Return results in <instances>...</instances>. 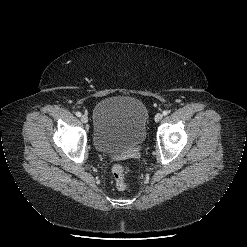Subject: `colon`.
<instances>
[{"label":"colon","mask_w":247,"mask_h":247,"mask_svg":"<svg viewBox=\"0 0 247 247\" xmlns=\"http://www.w3.org/2000/svg\"><path fill=\"white\" fill-rule=\"evenodd\" d=\"M112 174L115 179V184L117 189L124 190L127 187V182L125 179V171L121 165H115L112 168Z\"/></svg>","instance_id":"5ec220e1"}]
</instances>
